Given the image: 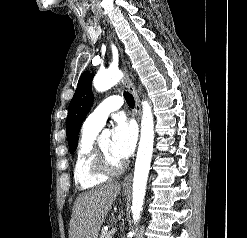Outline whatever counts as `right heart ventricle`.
I'll list each match as a JSON object with an SVG mask.
<instances>
[{"instance_id":"obj_1","label":"right heart ventricle","mask_w":247,"mask_h":238,"mask_svg":"<svg viewBox=\"0 0 247 238\" xmlns=\"http://www.w3.org/2000/svg\"><path fill=\"white\" fill-rule=\"evenodd\" d=\"M99 130L83 125L79 146L75 155L73 176L80 189L96 187L107 180V176L97 174L92 167L95 140Z\"/></svg>"}]
</instances>
